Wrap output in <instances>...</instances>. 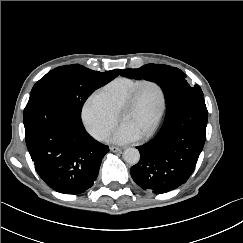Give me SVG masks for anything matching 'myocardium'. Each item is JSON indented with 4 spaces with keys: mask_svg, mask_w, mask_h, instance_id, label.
Listing matches in <instances>:
<instances>
[{
    "mask_svg": "<svg viewBox=\"0 0 243 243\" xmlns=\"http://www.w3.org/2000/svg\"><path fill=\"white\" fill-rule=\"evenodd\" d=\"M146 84H154L158 89L159 92L161 94V108L160 111L158 113V116L156 117L153 125L143 134L140 135L141 138H146L149 137L150 135H152L156 129L158 128V126L160 125L164 114L166 112V108H167V95L165 92L164 87L162 86V84L160 82H158L157 80L154 79H145L142 80L130 93V95L127 97V99L125 100V102L122 104L120 110H119V119L121 121V118L123 116V114H125L127 111H129L130 109L133 108V106L135 105L136 102V98L137 95L140 91V89L146 85Z\"/></svg>",
    "mask_w": 243,
    "mask_h": 243,
    "instance_id": "1",
    "label": "myocardium"
}]
</instances>
